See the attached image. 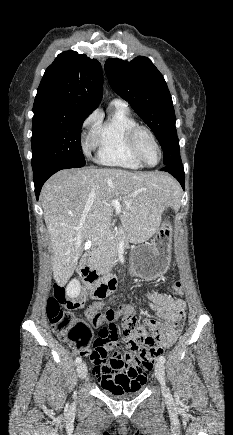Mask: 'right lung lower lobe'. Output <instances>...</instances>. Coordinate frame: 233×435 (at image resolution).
I'll list each match as a JSON object with an SVG mask.
<instances>
[{
	"mask_svg": "<svg viewBox=\"0 0 233 435\" xmlns=\"http://www.w3.org/2000/svg\"><path fill=\"white\" fill-rule=\"evenodd\" d=\"M68 168H74V167L69 166L65 163L56 162V163L44 164L39 167L33 168L35 194L37 199L39 197L41 188L45 183V181L57 171L62 169H68Z\"/></svg>",
	"mask_w": 233,
	"mask_h": 435,
	"instance_id": "98d812e1",
	"label": "right lung lower lobe"
}]
</instances>
